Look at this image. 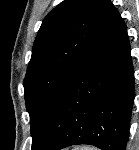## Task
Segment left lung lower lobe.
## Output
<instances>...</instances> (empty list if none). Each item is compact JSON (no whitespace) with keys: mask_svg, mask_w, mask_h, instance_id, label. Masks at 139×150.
Here are the masks:
<instances>
[{"mask_svg":"<svg viewBox=\"0 0 139 150\" xmlns=\"http://www.w3.org/2000/svg\"><path fill=\"white\" fill-rule=\"evenodd\" d=\"M133 101L134 71L127 29L113 5L57 95L32 150L77 144L125 150Z\"/></svg>","mask_w":139,"mask_h":150,"instance_id":"obj_1","label":"left lung lower lobe"}]
</instances>
